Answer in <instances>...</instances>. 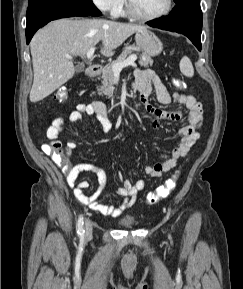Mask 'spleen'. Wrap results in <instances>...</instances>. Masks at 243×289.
I'll list each match as a JSON object with an SVG mask.
<instances>
[{"mask_svg":"<svg viewBox=\"0 0 243 289\" xmlns=\"http://www.w3.org/2000/svg\"><path fill=\"white\" fill-rule=\"evenodd\" d=\"M179 66L180 71L183 73V75L187 77H192L194 75V68L192 62L187 56H184L181 59Z\"/></svg>","mask_w":243,"mask_h":289,"instance_id":"3e777b00","label":"spleen"}]
</instances>
